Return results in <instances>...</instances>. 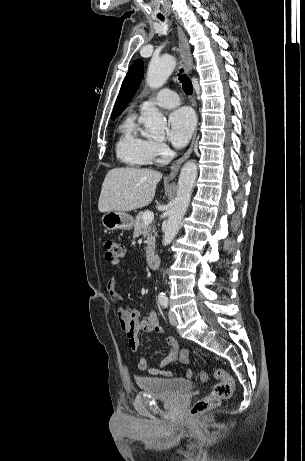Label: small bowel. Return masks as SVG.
I'll return each instance as SVG.
<instances>
[{
    "instance_id": "c3829d8e",
    "label": "small bowel",
    "mask_w": 305,
    "mask_h": 461,
    "mask_svg": "<svg viewBox=\"0 0 305 461\" xmlns=\"http://www.w3.org/2000/svg\"><path fill=\"white\" fill-rule=\"evenodd\" d=\"M108 291L118 305L116 308V317L132 352H136L139 348L138 335L140 333H154L158 335H162L164 333L158 317L153 310L148 311L145 316H142L139 308L123 304V299L117 291L116 278L113 277L109 281ZM164 340L169 347L168 354L157 366L151 368H149L147 357L142 356L138 362V369L140 371H148V373L153 376L171 377L176 375L177 372L167 371L164 370V368L176 360L177 357H179L182 364H189V349L180 350L178 341L175 337L166 336ZM183 375L189 377L191 375V371L187 369L184 371Z\"/></svg>"
}]
</instances>
